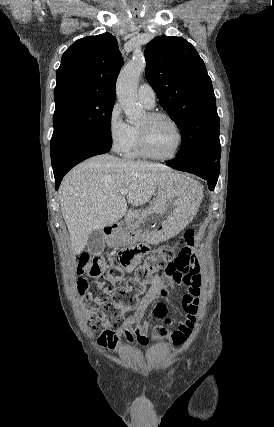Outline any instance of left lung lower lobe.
Returning <instances> with one entry per match:
<instances>
[{
	"label": "left lung lower lobe",
	"instance_id": "1",
	"mask_svg": "<svg viewBox=\"0 0 274 427\" xmlns=\"http://www.w3.org/2000/svg\"><path fill=\"white\" fill-rule=\"evenodd\" d=\"M220 155L221 153L190 159L176 158L167 162V165L208 180L209 189L213 191L220 172Z\"/></svg>",
	"mask_w": 274,
	"mask_h": 427
}]
</instances>
